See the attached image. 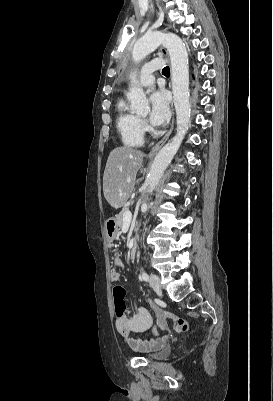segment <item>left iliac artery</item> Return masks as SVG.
I'll use <instances>...</instances> for the list:
<instances>
[{
	"label": "left iliac artery",
	"mask_w": 273,
	"mask_h": 401,
	"mask_svg": "<svg viewBox=\"0 0 273 401\" xmlns=\"http://www.w3.org/2000/svg\"><path fill=\"white\" fill-rule=\"evenodd\" d=\"M142 279L145 281H147L149 279V276L145 271L142 272Z\"/></svg>",
	"instance_id": "obj_1"
}]
</instances>
